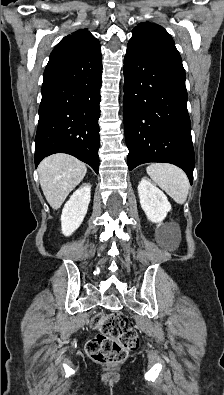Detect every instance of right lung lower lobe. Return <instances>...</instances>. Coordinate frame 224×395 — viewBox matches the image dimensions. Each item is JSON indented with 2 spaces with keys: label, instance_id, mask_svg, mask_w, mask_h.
<instances>
[{
  "label": "right lung lower lobe",
  "instance_id": "98d812e1",
  "mask_svg": "<svg viewBox=\"0 0 224 395\" xmlns=\"http://www.w3.org/2000/svg\"><path fill=\"white\" fill-rule=\"evenodd\" d=\"M101 75V51L87 54L66 37L54 48L41 89L36 167L46 156L67 153L98 173Z\"/></svg>",
  "mask_w": 224,
  "mask_h": 395
}]
</instances>
